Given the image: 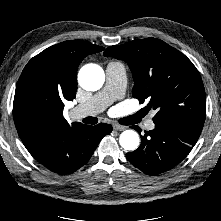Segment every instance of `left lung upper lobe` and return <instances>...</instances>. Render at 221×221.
<instances>
[{"instance_id":"obj_1","label":"left lung upper lobe","mask_w":221,"mask_h":221,"mask_svg":"<svg viewBox=\"0 0 221 221\" xmlns=\"http://www.w3.org/2000/svg\"><path fill=\"white\" fill-rule=\"evenodd\" d=\"M104 56L125 61L134 79L133 97L157 111V125L187 128L201 133L206 98L201 76L193 63L167 43L146 38L110 46Z\"/></svg>"}]
</instances>
